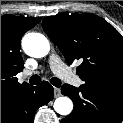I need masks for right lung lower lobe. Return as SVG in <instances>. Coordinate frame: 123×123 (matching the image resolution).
I'll use <instances>...</instances> for the list:
<instances>
[{"label":"right lung lower lobe","instance_id":"98d812e1","mask_svg":"<svg viewBox=\"0 0 123 123\" xmlns=\"http://www.w3.org/2000/svg\"><path fill=\"white\" fill-rule=\"evenodd\" d=\"M53 99V87L46 81L21 94L1 98V123H33L36 110Z\"/></svg>","mask_w":123,"mask_h":123}]
</instances>
